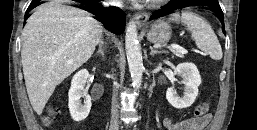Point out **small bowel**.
Listing matches in <instances>:
<instances>
[{"label": "small bowel", "instance_id": "c3829d8e", "mask_svg": "<svg viewBox=\"0 0 257 130\" xmlns=\"http://www.w3.org/2000/svg\"><path fill=\"white\" fill-rule=\"evenodd\" d=\"M210 119L209 115L202 118H189L181 121H174L171 118H166L162 126L166 130H202Z\"/></svg>", "mask_w": 257, "mask_h": 130}]
</instances>
